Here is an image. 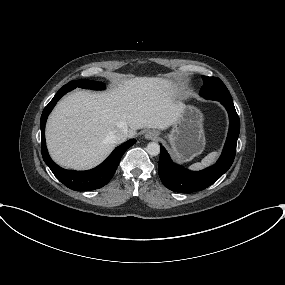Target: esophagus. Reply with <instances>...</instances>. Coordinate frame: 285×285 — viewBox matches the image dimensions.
Segmentation results:
<instances>
[{
    "instance_id": "obj_1",
    "label": "esophagus",
    "mask_w": 285,
    "mask_h": 285,
    "mask_svg": "<svg viewBox=\"0 0 285 285\" xmlns=\"http://www.w3.org/2000/svg\"><path fill=\"white\" fill-rule=\"evenodd\" d=\"M158 132L155 131V130H148L146 133H145V138L148 139V140H156L158 138Z\"/></svg>"
}]
</instances>
